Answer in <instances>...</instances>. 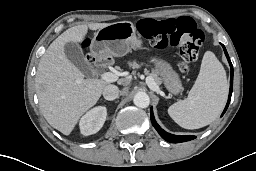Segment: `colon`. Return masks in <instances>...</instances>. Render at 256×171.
Instances as JSON below:
<instances>
[{
    "instance_id": "1",
    "label": "colon",
    "mask_w": 256,
    "mask_h": 171,
    "mask_svg": "<svg viewBox=\"0 0 256 171\" xmlns=\"http://www.w3.org/2000/svg\"><path fill=\"white\" fill-rule=\"evenodd\" d=\"M140 35L156 48L178 46L181 61L179 68L187 71L189 63L195 61L204 43V33L190 17L163 20L141 19L137 24Z\"/></svg>"
}]
</instances>
